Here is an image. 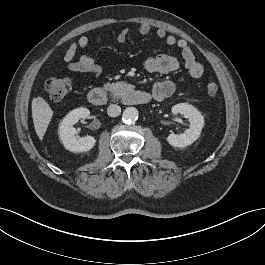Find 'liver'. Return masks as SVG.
Returning a JSON list of instances; mask_svg holds the SVG:
<instances>
[{
    "instance_id": "6515ba94",
    "label": "liver",
    "mask_w": 265,
    "mask_h": 265,
    "mask_svg": "<svg viewBox=\"0 0 265 265\" xmlns=\"http://www.w3.org/2000/svg\"><path fill=\"white\" fill-rule=\"evenodd\" d=\"M52 116L53 110L45 99L37 97L32 100V118L36 134L40 140L43 139Z\"/></svg>"
}]
</instances>
